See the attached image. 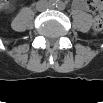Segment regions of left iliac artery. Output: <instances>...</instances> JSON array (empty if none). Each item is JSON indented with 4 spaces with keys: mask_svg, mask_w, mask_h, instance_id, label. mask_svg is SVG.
Wrapping results in <instances>:
<instances>
[{
    "mask_svg": "<svg viewBox=\"0 0 103 103\" xmlns=\"http://www.w3.org/2000/svg\"><path fill=\"white\" fill-rule=\"evenodd\" d=\"M56 7L60 10H64L66 8V5L62 1H58Z\"/></svg>",
    "mask_w": 103,
    "mask_h": 103,
    "instance_id": "left-iliac-artery-1",
    "label": "left iliac artery"
}]
</instances>
